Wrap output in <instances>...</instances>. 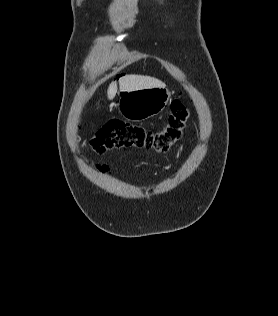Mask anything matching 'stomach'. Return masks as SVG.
Listing matches in <instances>:
<instances>
[{
    "instance_id": "0dacf381",
    "label": "stomach",
    "mask_w": 278,
    "mask_h": 316,
    "mask_svg": "<svg viewBox=\"0 0 278 316\" xmlns=\"http://www.w3.org/2000/svg\"><path fill=\"white\" fill-rule=\"evenodd\" d=\"M170 92L165 87L146 88L121 93L119 113L131 121H141L157 115L166 107Z\"/></svg>"
}]
</instances>
